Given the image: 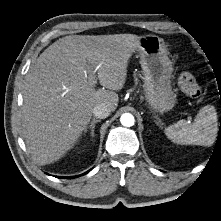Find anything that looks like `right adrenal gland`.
<instances>
[{
    "label": "right adrenal gland",
    "mask_w": 221,
    "mask_h": 221,
    "mask_svg": "<svg viewBox=\"0 0 221 221\" xmlns=\"http://www.w3.org/2000/svg\"><path fill=\"white\" fill-rule=\"evenodd\" d=\"M101 120L99 119H93L91 122H90V125L87 126L84 130V132H87L88 130L87 129H90V133H91V136L94 137V129H95V124L100 122Z\"/></svg>",
    "instance_id": "1"
}]
</instances>
